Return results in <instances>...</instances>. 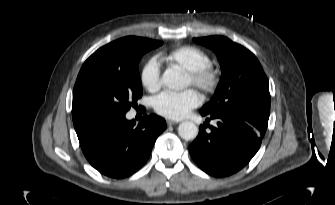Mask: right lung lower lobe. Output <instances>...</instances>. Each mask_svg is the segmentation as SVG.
Here are the masks:
<instances>
[{
  "instance_id": "1",
  "label": "right lung lower lobe",
  "mask_w": 335,
  "mask_h": 205,
  "mask_svg": "<svg viewBox=\"0 0 335 205\" xmlns=\"http://www.w3.org/2000/svg\"><path fill=\"white\" fill-rule=\"evenodd\" d=\"M74 128L90 164L106 176L124 178L147 161L166 122L151 114L135 126L124 114L76 123Z\"/></svg>"
}]
</instances>
